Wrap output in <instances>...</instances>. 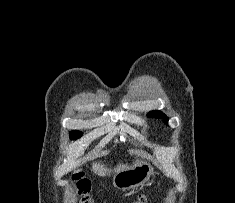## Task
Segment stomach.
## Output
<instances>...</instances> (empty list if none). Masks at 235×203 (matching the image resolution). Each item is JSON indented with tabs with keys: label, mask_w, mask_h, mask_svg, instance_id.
<instances>
[{
	"label": "stomach",
	"mask_w": 235,
	"mask_h": 203,
	"mask_svg": "<svg viewBox=\"0 0 235 203\" xmlns=\"http://www.w3.org/2000/svg\"><path fill=\"white\" fill-rule=\"evenodd\" d=\"M152 171L151 165L141 160L132 167L118 171L113 177V184L120 190L134 189L147 182Z\"/></svg>",
	"instance_id": "stomach-1"
}]
</instances>
